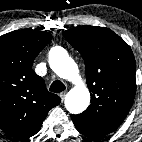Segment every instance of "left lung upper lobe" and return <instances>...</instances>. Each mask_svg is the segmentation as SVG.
<instances>
[{
	"instance_id": "5c2ea615",
	"label": "left lung upper lobe",
	"mask_w": 142,
	"mask_h": 142,
	"mask_svg": "<svg viewBox=\"0 0 142 142\" xmlns=\"http://www.w3.org/2000/svg\"><path fill=\"white\" fill-rule=\"evenodd\" d=\"M82 55L91 104L72 115L76 126L93 138L114 131L127 116L136 92V63L131 48L104 27L81 26L64 32Z\"/></svg>"
}]
</instances>
